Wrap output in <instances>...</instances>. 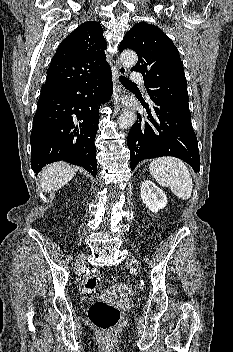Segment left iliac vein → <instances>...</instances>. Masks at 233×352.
<instances>
[{"instance_id":"obj_1","label":"left iliac vein","mask_w":233,"mask_h":352,"mask_svg":"<svg viewBox=\"0 0 233 352\" xmlns=\"http://www.w3.org/2000/svg\"><path fill=\"white\" fill-rule=\"evenodd\" d=\"M128 261L130 262V263H132V264H134L136 267H139V263H138V261L134 258V257H129L128 258Z\"/></svg>"}]
</instances>
